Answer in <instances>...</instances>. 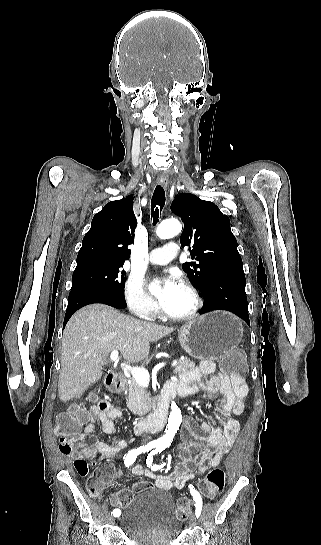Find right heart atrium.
I'll list each match as a JSON object with an SVG mask.
<instances>
[{
  "label": "right heart atrium",
  "instance_id": "obj_1",
  "mask_svg": "<svg viewBox=\"0 0 321 545\" xmlns=\"http://www.w3.org/2000/svg\"><path fill=\"white\" fill-rule=\"evenodd\" d=\"M123 297L133 315L143 320H152L157 316L158 307L147 296L139 280L130 278L126 281L123 288Z\"/></svg>",
  "mask_w": 321,
  "mask_h": 545
}]
</instances>
